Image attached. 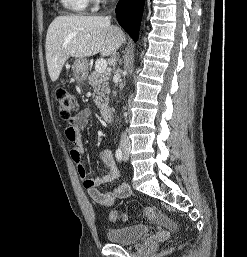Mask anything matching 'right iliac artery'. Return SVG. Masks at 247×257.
Masks as SVG:
<instances>
[{"label": "right iliac artery", "mask_w": 247, "mask_h": 257, "mask_svg": "<svg viewBox=\"0 0 247 257\" xmlns=\"http://www.w3.org/2000/svg\"><path fill=\"white\" fill-rule=\"evenodd\" d=\"M115 157L118 162H121L123 160V154L120 147L116 150Z\"/></svg>", "instance_id": "82829eb1"}]
</instances>
